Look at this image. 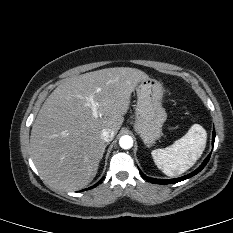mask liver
Instances as JSON below:
<instances>
[{"mask_svg":"<svg viewBox=\"0 0 233 233\" xmlns=\"http://www.w3.org/2000/svg\"><path fill=\"white\" fill-rule=\"evenodd\" d=\"M149 78L136 68L114 67L66 78L46 99L33 123L31 158L49 185L75 191L96 176L106 144L103 129H120L135 87ZM93 96L94 118L86 97Z\"/></svg>","mask_w":233,"mask_h":233,"instance_id":"6515ba94","label":"liver"}]
</instances>
